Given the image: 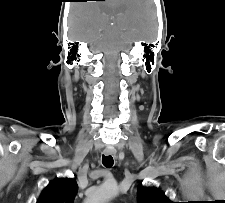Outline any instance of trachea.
Wrapping results in <instances>:
<instances>
[{"mask_svg": "<svg viewBox=\"0 0 225 203\" xmlns=\"http://www.w3.org/2000/svg\"><path fill=\"white\" fill-rule=\"evenodd\" d=\"M102 163L105 167L107 168H111L113 166V158L111 155H108V156H104L102 157Z\"/></svg>", "mask_w": 225, "mask_h": 203, "instance_id": "3493384b", "label": "trachea"}]
</instances>
